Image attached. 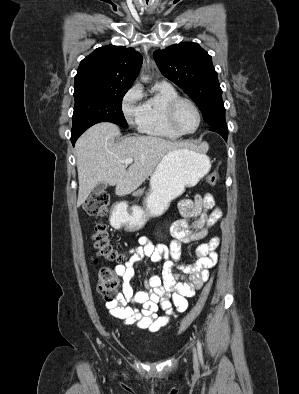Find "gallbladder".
Instances as JSON below:
<instances>
[{
    "label": "gallbladder",
    "mask_w": 299,
    "mask_h": 394,
    "mask_svg": "<svg viewBox=\"0 0 299 394\" xmlns=\"http://www.w3.org/2000/svg\"><path fill=\"white\" fill-rule=\"evenodd\" d=\"M107 188V184L106 183H99L95 188L94 191L95 192H101L103 190H105Z\"/></svg>",
    "instance_id": "bac80fb5"
}]
</instances>
